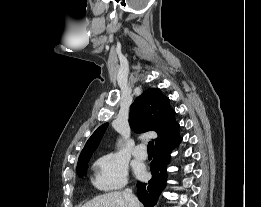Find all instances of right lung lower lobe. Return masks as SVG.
<instances>
[{
    "label": "right lung lower lobe",
    "mask_w": 261,
    "mask_h": 207,
    "mask_svg": "<svg viewBox=\"0 0 261 207\" xmlns=\"http://www.w3.org/2000/svg\"><path fill=\"white\" fill-rule=\"evenodd\" d=\"M178 137L169 144L155 148L153 161L150 163L151 180L148 182H137L138 198L145 207H154L159 195L166 186L167 165L169 164V154L180 144Z\"/></svg>",
    "instance_id": "98d812e1"
}]
</instances>
